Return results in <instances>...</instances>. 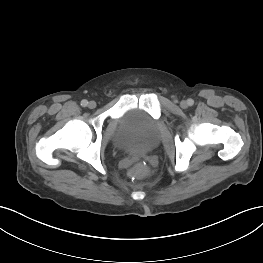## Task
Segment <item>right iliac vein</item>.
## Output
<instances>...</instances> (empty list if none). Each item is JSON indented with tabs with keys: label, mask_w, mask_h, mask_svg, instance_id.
<instances>
[{
	"label": "right iliac vein",
	"mask_w": 263,
	"mask_h": 263,
	"mask_svg": "<svg viewBox=\"0 0 263 263\" xmlns=\"http://www.w3.org/2000/svg\"><path fill=\"white\" fill-rule=\"evenodd\" d=\"M88 107H89L90 109L95 108V107H96V102H95V101H90V102L88 103Z\"/></svg>",
	"instance_id": "right-iliac-vein-1"
}]
</instances>
